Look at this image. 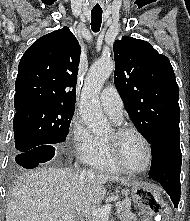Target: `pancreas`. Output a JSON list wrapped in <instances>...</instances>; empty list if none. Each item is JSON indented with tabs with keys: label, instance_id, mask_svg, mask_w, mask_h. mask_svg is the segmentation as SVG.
Listing matches in <instances>:
<instances>
[{
	"label": "pancreas",
	"instance_id": "cf45deb5",
	"mask_svg": "<svg viewBox=\"0 0 190 221\" xmlns=\"http://www.w3.org/2000/svg\"><path fill=\"white\" fill-rule=\"evenodd\" d=\"M121 206L117 207V214L123 221H137V217L131 212V203L122 201ZM89 221H102L99 217H92Z\"/></svg>",
	"mask_w": 190,
	"mask_h": 221
}]
</instances>
